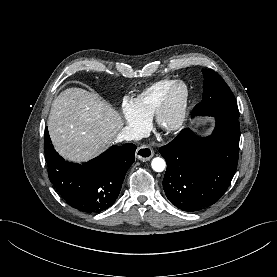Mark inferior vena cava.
I'll return each mask as SVG.
<instances>
[{
    "label": "inferior vena cava",
    "instance_id": "inferior-vena-cava-1",
    "mask_svg": "<svg viewBox=\"0 0 277 277\" xmlns=\"http://www.w3.org/2000/svg\"><path fill=\"white\" fill-rule=\"evenodd\" d=\"M139 139L140 137L132 128L125 127L118 134L116 141L117 142L133 141V140H139Z\"/></svg>",
    "mask_w": 277,
    "mask_h": 277
}]
</instances>
